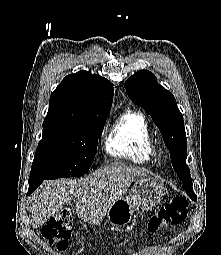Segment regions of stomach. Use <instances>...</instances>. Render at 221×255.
<instances>
[{"instance_id":"stomach-1","label":"stomach","mask_w":221,"mask_h":255,"mask_svg":"<svg viewBox=\"0 0 221 255\" xmlns=\"http://www.w3.org/2000/svg\"><path fill=\"white\" fill-rule=\"evenodd\" d=\"M165 194L164 186L156 179H137L128 196L116 200L107 211V219L113 226L128 225L137 208L147 211L160 203Z\"/></svg>"}]
</instances>
